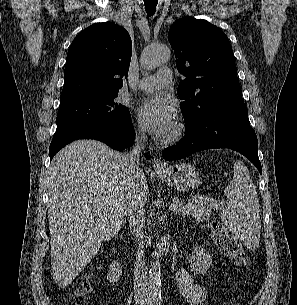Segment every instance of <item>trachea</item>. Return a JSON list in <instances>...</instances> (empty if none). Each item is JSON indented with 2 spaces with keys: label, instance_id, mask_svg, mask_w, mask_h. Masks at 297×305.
<instances>
[{
  "label": "trachea",
  "instance_id": "3493384b",
  "mask_svg": "<svg viewBox=\"0 0 297 305\" xmlns=\"http://www.w3.org/2000/svg\"><path fill=\"white\" fill-rule=\"evenodd\" d=\"M157 3L158 0H144L145 10L149 16L155 13Z\"/></svg>",
  "mask_w": 297,
  "mask_h": 305
}]
</instances>
